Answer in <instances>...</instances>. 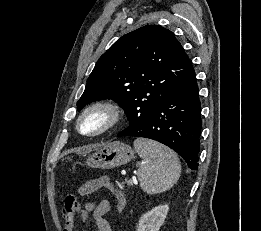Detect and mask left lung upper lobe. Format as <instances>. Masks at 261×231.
<instances>
[{
  "mask_svg": "<svg viewBox=\"0 0 261 231\" xmlns=\"http://www.w3.org/2000/svg\"><path fill=\"white\" fill-rule=\"evenodd\" d=\"M193 73L171 31L143 26L122 36L99 58L77 102L78 110L96 100L113 99L130 125L140 124Z\"/></svg>",
  "mask_w": 261,
  "mask_h": 231,
  "instance_id": "1",
  "label": "left lung upper lobe"
}]
</instances>
